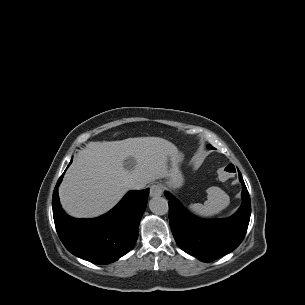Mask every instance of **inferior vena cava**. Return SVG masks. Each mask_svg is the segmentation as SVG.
<instances>
[{
	"mask_svg": "<svg viewBox=\"0 0 305 305\" xmlns=\"http://www.w3.org/2000/svg\"><path fill=\"white\" fill-rule=\"evenodd\" d=\"M131 188H132V189H142V188H144V185H143V184H140V183L133 182V183L131 184Z\"/></svg>",
	"mask_w": 305,
	"mask_h": 305,
	"instance_id": "602c4592",
	"label": "inferior vena cava"
}]
</instances>
